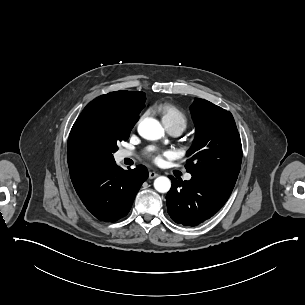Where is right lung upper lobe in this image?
Instances as JSON below:
<instances>
[{
	"mask_svg": "<svg viewBox=\"0 0 305 305\" xmlns=\"http://www.w3.org/2000/svg\"><path fill=\"white\" fill-rule=\"evenodd\" d=\"M145 93L116 91L90 102L75 121L67 143L70 177L96 169L95 154L87 140L94 127L134 126L145 107Z\"/></svg>",
	"mask_w": 305,
	"mask_h": 305,
	"instance_id": "1",
	"label": "right lung upper lobe"
}]
</instances>
